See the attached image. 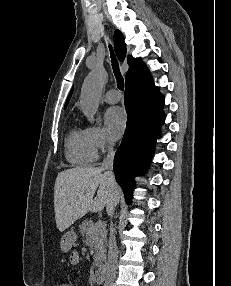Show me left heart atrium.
<instances>
[{
    "label": "left heart atrium",
    "mask_w": 231,
    "mask_h": 286,
    "mask_svg": "<svg viewBox=\"0 0 231 286\" xmlns=\"http://www.w3.org/2000/svg\"><path fill=\"white\" fill-rule=\"evenodd\" d=\"M105 128L108 134L113 138H119L127 124V116L121 107H111L104 115Z\"/></svg>",
    "instance_id": "1"
}]
</instances>
